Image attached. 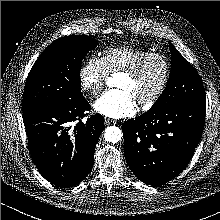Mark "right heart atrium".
I'll return each instance as SVG.
<instances>
[{"mask_svg": "<svg viewBox=\"0 0 220 220\" xmlns=\"http://www.w3.org/2000/svg\"><path fill=\"white\" fill-rule=\"evenodd\" d=\"M108 77V71L102 58L91 56L79 70V83L84 92L99 94Z\"/></svg>", "mask_w": 220, "mask_h": 220, "instance_id": "1", "label": "right heart atrium"}]
</instances>
